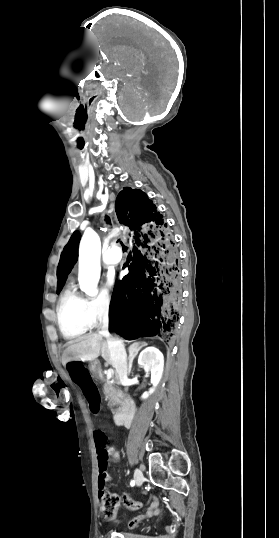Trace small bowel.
Listing matches in <instances>:
<instances>
[{
	"mask_svg": "<svg viewBox=\"0 0 279 538\" xmlns=\"http://www.w3.org/2000/svg\"><path fill=\"white\" fill-rule=\"evenodd\" d=\"M110 456L114 459V461L119 460V454L113 448H111ZM122 503L131 510H139L143 506L142 502L135 501L131 499L128 495H123ZM158 510L159 503L157 500H154L145 514L137 515L131 519L128 524L129 528H134L141 520L156 515L158 513Z\"/></svg>",
	"mask_w": 279,
	"mask_h": 538,
	"instance_id": "small-bowel-1",
	"label": "small bowel"
}]
</instances>
